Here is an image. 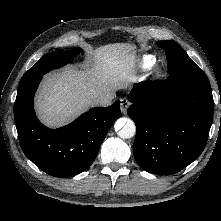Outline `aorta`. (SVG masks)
<instances>
[{
    "instance_id": "aorta-1",
    "label": "aorta",
    "mask_w": 221,
    "mask_h": 221,
    "mask_svg": "<svg viewBox=\"0 0 221 221\" xmlns=\"http://www.w3.org/2000/svg\"><path fill=\"white\" fill-rule=\"evenodd\" d=\"M115 131L123 139L132 138L136 133L135 123L128 118H120L115 123Z\"/></svg>"
}]
</instances>
